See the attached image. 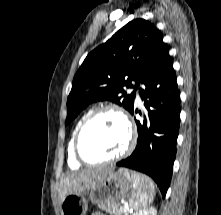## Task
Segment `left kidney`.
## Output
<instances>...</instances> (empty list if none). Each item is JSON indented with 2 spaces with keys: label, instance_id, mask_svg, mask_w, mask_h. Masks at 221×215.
I'll return each mask as SVG.
<instances>
[{
  "label": "left kidney",
  "instance_id": "left-kidney-1",
  "mask_svg": "<svg viewBox=\"0 0 221 215\" xmlns=\"http://www.w3.org/2000/svg\"><path fill=\"white\" fill-rule=\"evenodd\" d=\"M133 215H157V210L154 207H147L145 209L137 211Z\"/></svg>",
  "mask_w": 221,
  "mask_h": 215
}]
</instances>
